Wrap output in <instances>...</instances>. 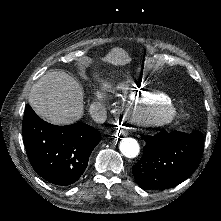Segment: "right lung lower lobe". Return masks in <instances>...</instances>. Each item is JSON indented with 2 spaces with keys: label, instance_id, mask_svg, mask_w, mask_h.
<instances>
[{
  "label": "right lung lower lobe",
  "instance_id": "98d812e1",
  "mask_svg": "<svg viewBox=\"0 0 221 221\" xmlns=\"http://www.w3.org/2000/svg\"><path fill=\"white\" fill-rule=\"evenodd\" d=\"M22 134L33 169L46 181L66 186L84 173L101 134L84 123L56 126L39 118L26 105Z\"/></svg>",
  "mask_w": 221,
  "mask_h": 221
}]
</instances>
